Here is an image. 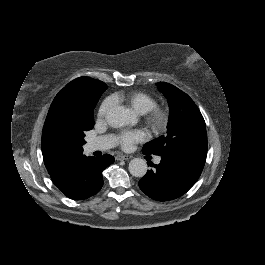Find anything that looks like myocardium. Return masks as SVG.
Listing matches in <instances>:
<instances>
[{
  "mask_svg": "<svg viewBox=\"0 0 265 265\" xmlns=\"http://www.w3.org/2000/svg\"><path fill=\"white\" fill-rule=\"evenodd\" d=\"M146 123L152 131L161 132L167 123V113L161 108L155 107L148 112Z\"/></svg>",
  "mask_w": 265,
  "mask_h": 265,
  "instance_id": "obj_1",
  "label": "myocardium"
}]
</instances>
